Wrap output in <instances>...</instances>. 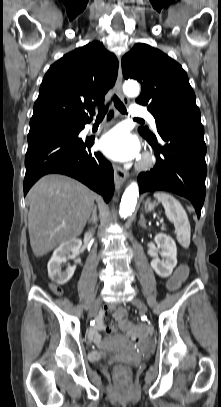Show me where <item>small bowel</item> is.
I'll return each mask as SVG.
<instances>
[{
    "instance_id": "small-bowel-1",
    "label": "small bowel",
    "mask_w": 221,
    "mask_h": 407,
    "mask_svg": "<svg viewBox=\"0 0 221 407\" xmlns=\"http://www.w3.org/2000/svg\"><path fill=\"white\" fill-rule=\"evenodd\" d=\"M113 309H114L113 306H108V307L103 308L99 312V314L96 318L95 326L93 329H91V331L89 333L90 340L93 341L95 344H99L101 342V335H100L101 331L109 333V334L117 331L118 327H117L116 323H114V322H111L109 324L105 323V318L107 317L109 312L112 311ZM116 315H117V312L115 310V312H114L115 318H116ZM122 331H128V330H122Z\"/></svg>"
}]
</instances>
